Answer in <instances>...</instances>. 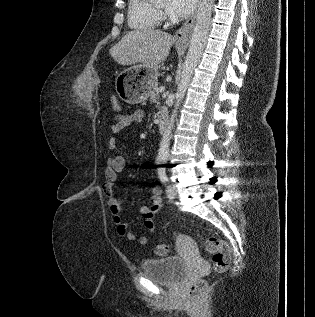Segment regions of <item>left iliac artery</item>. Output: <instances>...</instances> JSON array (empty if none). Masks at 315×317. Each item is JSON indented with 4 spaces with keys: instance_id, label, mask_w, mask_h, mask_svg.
Segmentation results:
<instances>
[{
    "instance_id": "left-iliac-artery-1",
    "label": "left iliac artery",
    "mask_w": 315,
    "mask_h": 317,
    "mask_svg": "<svg viewBox=\"0 0 315 317\" xmlns=\"http://www.w3.org/2000/svg\"><path fill=\"white\" fill-rule=\"evenodd\" d=\"M158 175H159V178L160 180L163 182V183H166L168 181V178L166 176V172H165V168L164 167H159L158 168ZM170 188V186H167V190Z\"/></svg>"
}]
</instances>
